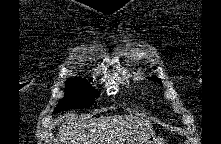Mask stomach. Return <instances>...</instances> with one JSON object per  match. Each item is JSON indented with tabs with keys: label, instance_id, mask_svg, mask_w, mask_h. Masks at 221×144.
Returning a JSON list of instances; mask_svg holds the SVG:
<instances>
[{
	"label": "stomach",
	"instance_id": "0dacf381",
	"mask_svg": "<svg viewBox=\"0 0 221 144\" xmlns=\"http://www.w3.org/2000/svg\"><path fill=\"white\" fill-rule=\"evenodd\" d=\"M139 144H162V142L155 136H150L147 139H144Z\"/></svg>",
	"mask_w": 221,
	"mask_h": 144
}]
</instances>
